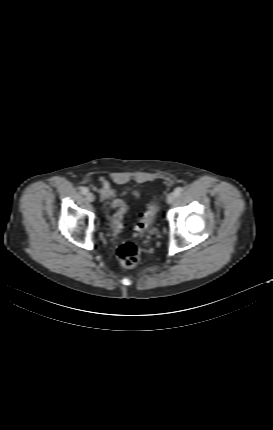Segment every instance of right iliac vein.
Masks as SVG:
<instances>
[{
    "mask_svg": "<svg viewBox=\"0 0 273 430\" xmlns=\"http://www.w3.org/2000/svg\"><path fill=\"white\" fill-rule=\"evenodd\" d=\"M86 200H87L88 202H93V201L95 200V196H94L91 192H88V193L86 194Z\"/></svg>",
    "mask_w": 273,
    "mask_h": 430,
    "instance_id": "63e3f726",
    "label": "right iliac vein"
}]
</instances>
